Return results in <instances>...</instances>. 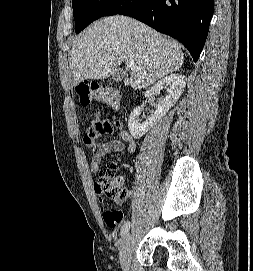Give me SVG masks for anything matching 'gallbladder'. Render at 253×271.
<instances>
[{"instance_id":"obj_1","label":"gallbladder","mask_w":253,"mask_h":271,"mask_svg":"<svg viewBox=\"0 0 253 271\" xmlns=\"http://www.w3.org/2000/svg\"><path fill=\"white\" fill-rule=\"evenodd\" d=\"M126 77H127V72L123 69H119L113 75L112 80L113 82H119V81L124 80Z\"/></svg>"}]
</instances>
